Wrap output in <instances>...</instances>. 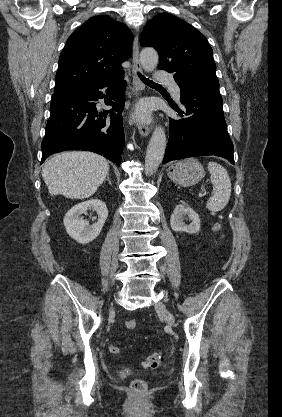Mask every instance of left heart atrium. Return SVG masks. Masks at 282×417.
Returning <instances> with one entry per match:
<instances>
[{
    "label": "left heart atrium",
    "instance_id": "left-heart-atrium-1",
    "mask_svg": "<svg viewBox=\"0 0 282 417\" xmlns=\"http://www.w3.org/2000/svg\"><path fill=\"white\" fill-rule=\"evenodd\" d=\"M138 112H139V114H140V115H142V116H147V114H148V112H149V109H148V107H147L146 105L142 104V105L139 107Z\"/></svg>",
    "mask_w": 282,
    "mask_h": 417
}]
</instances>
